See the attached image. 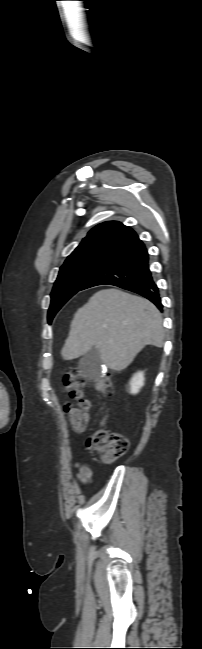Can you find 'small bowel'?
<instances>
[{
  "instance_id": "small-bowel-1",
  "label": "small bowel",
  "mask_w": 202,
  "mask_h": 649,
  "mask_svg": "<svg viewBox=\"0 0 202 649\" xmlns=\"http://www.w3.org/2000/svg\"><path fill=\"white\" fill-rule=\"evenodd\" d=\"M75 468V478L79 481V483L84 487L90 486L92 484L93 477L92 469L89 466L81 463H76Z\"/></svg>"
}]
</instances>
